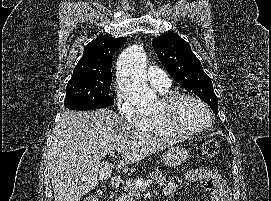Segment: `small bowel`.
<instances>
[{
    "instance_id": "c3829d8e",
    "label": "small bowel",
    "mask_w": 271,
    "mask_h": 201,
    "mask_svg": "<svg viewBox=\"0 0 271 201\" xmlns=\"http://www.w3.org/2000/svg\"><path fill=\"white\" fill-rule=\"evenodd\" d=\"M184 180L189 184L199 183L208 194L207 201H229L228 187L215 170L208 167L195 168L187 172ZM182 184V178H171L164 187V194L172 195Z\"/></svg>"
}]
</instances>
